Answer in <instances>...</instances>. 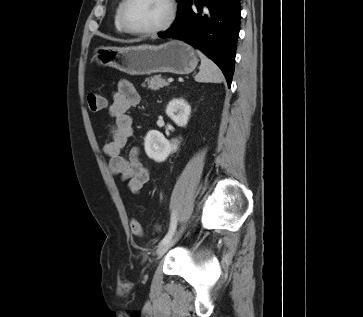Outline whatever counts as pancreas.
<instances>
[{
  "instance_id": "pancreas-1",
  "label": "pancreas",
  "mask_w": 363,
  "mask_h": 317,
  "mask_svg": "<svg viewBox=\"0 0 363 317\" xmlns=\"http://www.w3.org/2000/svg\"><path fill=\"white\" fill-rule=\"evenodd\" d=\"M146 81L148 84V88L154 91L168 85V83L165 81V79L161 77V75H155L153 77L147 78ZM142 86H145V84H142Z\"/></svg>"
}]
</instances>
